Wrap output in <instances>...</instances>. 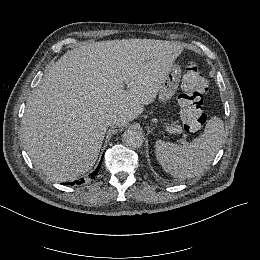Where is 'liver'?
<instances>
[{
  "mask_svg": "<svg viewBox=\"0 0 260 260\" xmlns=\"http://www.w3.org/2000/svg\"><path fill=\"white\" fill-rule=\"evenodd\" d=\"M181 51L177 42L155 39L99 41L68 50L26 103L21 135L33 164L61 182L92 169L107 117L116 115L118 127L136 119L155 100Z\"/></svg>",
  "mask_w": 260,
  "mask_h": 260,
  "instance_id": "1",
  "label": "liver"
}]
</instances>
